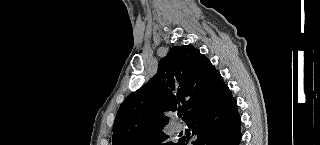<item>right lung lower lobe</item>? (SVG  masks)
Returning a JSON list of instances; mask_svg holds the SVG:
<instances>
[{"label":"right lung lower lobe","mask_w":320,"mask_h":145,"mask_svg":"<svg viewBox=\"0 0 320 145\" xmlns=\"http://www.w3.org/2000/svg\"><path fill=\"white\" fill-rule=\"evenodd\" d=\"M211 93L205 108L186 122L193 131L192 135H197L192 145H239L241 119L237 103L221 76L215 81ZM188 140L182 137L177 145H187Z\"/></svg>","instance_id":"right-lung-lower-lobe-1"}]
</instances>
